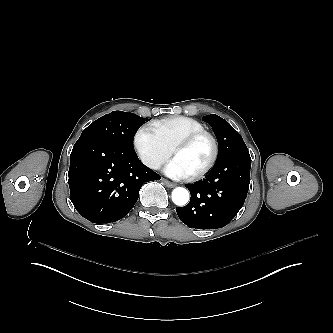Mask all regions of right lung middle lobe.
Segmentation results:
<instances>
[{"label": "right lung middle lobe", "mask_w": 333, "mask_h": 333, "mask_svg": "<svg viewBox=\"0 0 333 333\" xmlns=\"http://www.w3.org/2000/svg\"><path fill=\"white\" fill-rule=\"evenodd\" d=\"M149 120L134 113L113 111L91 123L84 129L80 138L85 136L99 137L117 145L126 153L135 154L134 136L139 127Z\"/></svg>", "instance_id": "dd1d6c3e"}]
</instances>
